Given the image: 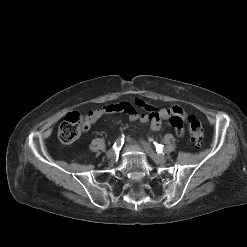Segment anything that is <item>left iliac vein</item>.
<instances>
[{"label": "left iliac vein", "instance_id": "left-iliac-vein-1", "mask_svg": "<svg viewBox=\"0 0 247 247\" xmlns=\"http://www.w3.org/2000/svg\"><path fill=\"white\" fill-rule=\"evenodd\" d=\"M142 145L146 151V153L158 164H164L167 161V158L161 154H157L153 151V149L144 141H142Z\"/></svg>", "mask_w": 247, "mask_h": 247}]
</instances>
